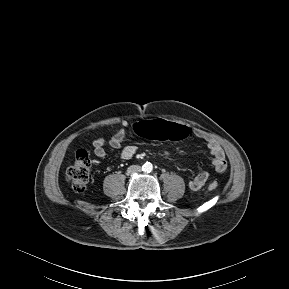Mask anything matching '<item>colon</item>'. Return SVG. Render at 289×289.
Returning <instances> with one entry per match:
<instances>
[{
  "mask_svg": "<svg viewBox=\"0 0 289 289\" xmlns=\"http://www.w3.org/2000/svg\"><path fill=\"white\" fill-rule=\"evenodd\" d=\"M133 132L138 137H150L155 139L181 140L188 135L185 126L172 120L156 118L138 120L133 125ZM90 158L86 149H79L75 160L68 166L66 179L73 190L82 193L86 190L90 177ZM218 188V183L213 181L208 184L209 190Z\"/></svg>",
  "mask_w": 289,
  "mask_h": 289,
  "instance_id": "5ec220e1",
  "label": "colon"
}]
</instances>
